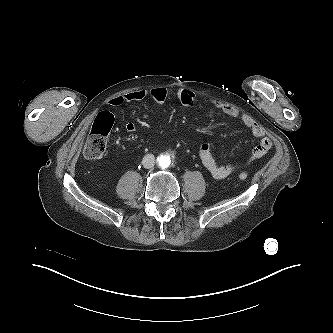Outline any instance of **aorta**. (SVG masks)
I'll return each mask as SVG.
<instances>
[{
	"instance_id": "762f6f07",
	"label": "aorta",
	"mask_w": 333,
	"mask_h": 333,
	"mask_svg": "<svg viewBox=\"0 0 333 333\" xmlns=\"http://www.w3.org/2000/svg\"><path fill=\"white\" fill-rule=\"evenodd\" d=\"M158 163L160 165V167L162 168H167L170 166V163H171V160L168 156L166 155H161L159 158H158Z\"/></svg>"
}]
</instances>
